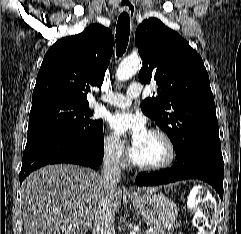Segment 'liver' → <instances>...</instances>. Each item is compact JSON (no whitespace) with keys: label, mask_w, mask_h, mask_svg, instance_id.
<instances>
[{"label":"liver","mask_w":241,"mask_h":234,"mask_svg":"<svg viewBox=\"0 0 241 234\" xmlns=\"http://www.w3.org/2000/svg\"><path fill=\"white\" fill-rule=\"evenodd\" d=\"M121 200V188L89 168L45 166L21 186L24 234H85L101 212L118 211Z\"/></svg>","instance_id":"liver-1"}]
</instances>
